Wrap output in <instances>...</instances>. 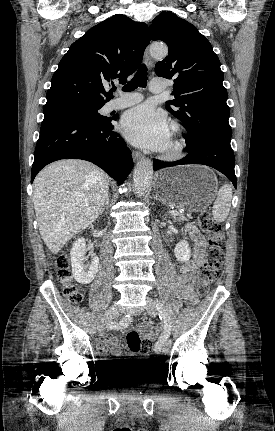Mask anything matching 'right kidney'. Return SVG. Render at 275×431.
<instances>
[{"instance_id":"obj_1","label":"right kidney","mask_w":275,"mask_h":431,"mask_svg":"<svg viewBox=\"0 0 275 431\" xmlns=\"http://www.w3.org/2000/svg\"><path fill=\"white\" fill-rule=\"evenodd\" d=\"M86 243L84 238H79L73 244L70 251L72 274L74 279L81 284H89L93 281L98 271L99 258L92 255L91 263L85 264Z\"/></svg>"}]
</instances>
